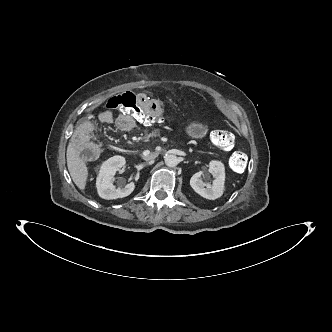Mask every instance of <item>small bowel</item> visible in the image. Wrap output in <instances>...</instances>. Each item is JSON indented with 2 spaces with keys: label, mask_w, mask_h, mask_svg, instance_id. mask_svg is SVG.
<instances>
[{
  "label": "small bowel",
  "mask_w": 332,
  "mask_h": 332,
  "mask_svg": "<svg viewBox=\"0 0 332 332\" xmlns=\"http://www.w3.org/2000/svg\"><path fill=\"white\" fill-rule=\"evenodd\" d=\"M136 103L144 112L152 114L155 117H160L164 113L163 106L145 94L138 95ZM100 120L103 123H111L112 125L118 126L123 131L132 130L138 122L136 118L116 111L112 113L108 111L103 112L100 115Z\"/></svg>",
  "instance_id": "obj_1"
}]
</instances>
